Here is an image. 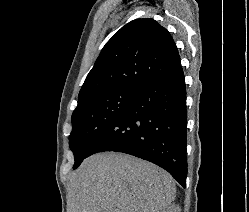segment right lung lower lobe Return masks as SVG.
<instances>
[{"label":"right lung lower lobe","mask_w":249,"mask_h":212,"mask_svg":"<svg viewBox=\"0 0 249 212\" xmlns=\"http://www.w3.org/2000/svg\"><path fill=\"white\" fill-rule=\"evenodd\" d=\"M186 89L182 67L143 88L104 130L88 156L123 152L167 170L186 187Z\"/></svg>","instance_id":"98d812e1"}]
</instances>
